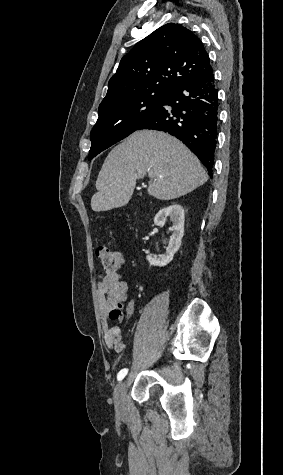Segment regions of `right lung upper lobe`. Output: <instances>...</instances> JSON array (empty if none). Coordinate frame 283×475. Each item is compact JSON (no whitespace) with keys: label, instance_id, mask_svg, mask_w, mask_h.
Segmentation results:
<instances>
[{"label":"right lung upper lobe","instance_id":"1","mask_svg":"<svg viewBox=\"0 0 283 475\" xmlns=\"http://www.w3.org/2000/svg\"><path fill=\"white\" fill-rule=\"evenodd\" d=\"M211 71L201 40L182 25L168 23L121 59L100 106L147 93H167L178 83Z\"/></svg>","mask_w":283,"mask_h":475}]
</instances>
